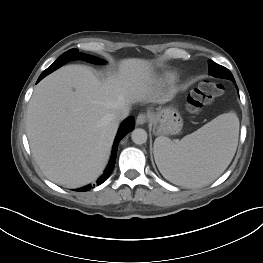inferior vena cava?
<instances>
[{
    "label": "inferior vena cava",
    "instance_id": "obj_1",
    "mask_svg": "<svg viewBox=\"0 0 263 263\" xmlns=\"http://www.w3.org/2000/svg\"><path fill=\"white\" fill-rule=\"evenodd\" d=\"M128 114H129V109L127 107H123L113 112L111 116L114 120L119 122L125 119L128 116Z\"/></svg>",
    "mask_w": 263,
    "mask_h": 263
}]
</instances>
